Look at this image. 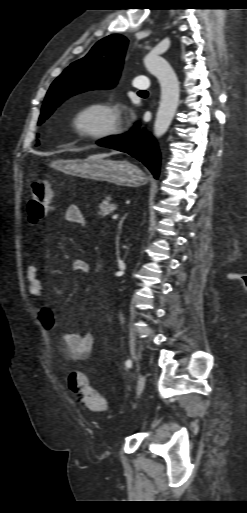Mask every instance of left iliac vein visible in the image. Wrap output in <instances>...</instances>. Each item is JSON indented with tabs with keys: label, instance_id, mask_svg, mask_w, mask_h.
Here are the masks:
<instances>
[{
	"label": "left iliac vein",
	"instance_id": "1",
	"mask_svg": "<svg viewBox=\"0 0 247 513\" xmlns=\"http://www.w3.org/2000/svg\"><path fill=\"white\" fill-rule=\"evenodd\" d=\"M145 382H146L145 376L140 375L139 379H138V383H137V388H136L137 397H139L143 393L144 388H145Z\"/></svg>",
	"mask_w": 247,
	"mask_h": 513
}]
</instances>
